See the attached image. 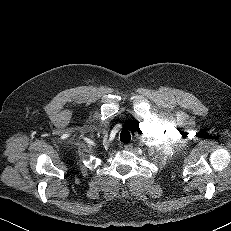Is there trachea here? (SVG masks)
Masks as SVG:
<instances>
[{
    "label": "trachea",
    "mask_w": 231,
    "mask_h": 231,
    "mask_svg": "<svg viewBox=\"0 0 231 231\" xmlns=\"http://www.w3.org/2000/svg\"><path fill=\"white\" fill-rule=\"evenodd\" d=\"M120 140L123 143H129L131 140L130 132L126 129L122 130L120 133Z\"/></svg>",
    "instance_id": "trachea-1"
}]
</instances>
